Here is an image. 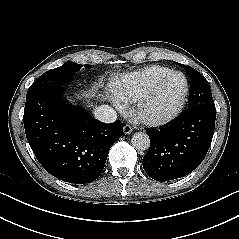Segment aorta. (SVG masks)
<instances>
[{
  "instance_id": "aorta-1",
  "label": "aorta",
  "mask_w": 239,
  "mask_h": 239,
  "mask_svg": "<svg viewBox=\"0 0 239 239\" xmlns=\"http://www.w3.org/2000/svg\"><path fill=\"white\" fill-rule=\"evenodd\" d=\"M131 143L137 150L145 151L150 147L149 136L144 132H136L133 134Z\"/></svg>"
}]
</instances>
